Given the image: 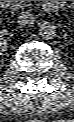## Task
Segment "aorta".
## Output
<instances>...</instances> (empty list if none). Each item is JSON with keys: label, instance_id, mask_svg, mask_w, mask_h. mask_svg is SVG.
Listing matches in <instances>:
<instances>
[{"label": "aorta", "instance_id": "762f6f07", "mask_svg": "<svg viewBox=\"0 0 74 122\" xmlns=\"http://www.w3.org/2000/svg\"><path fill=\"white\" fill-rule=\"evenodd\" d=\"M39 35L45 39H52L56 35V26L50 21H45L40 25Z\"/></svg>", "mask_w": 74, "mask_h": 122}]
</instances>
